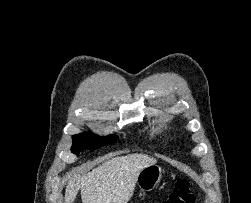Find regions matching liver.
Instances as JSON below:
<instances>
[{"label": "liver", "instance_id": "obj_1", "mask_svg": "<svg viewBox=\"0 0 251 203\" xmlns=\"http://www.w3.org/2000/svg\"><path fill=\"white\" fill-rule=\"evenodd\" d=\"M155 163L156 159L145 154L112 158L83 176L70 177L65 203H73L79 190L83 203H127L139 172Z\"/></svg>", "mask_w": 251, "mask_h": 203}]
</instances>
